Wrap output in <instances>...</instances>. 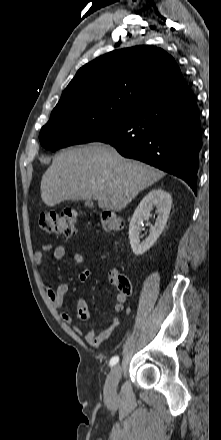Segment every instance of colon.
<instances>
[{"label":"colon","mask_w":221,"mask_h":440,"mask_svg":"<svg viewBox=\"0 0 221 440\" xmlns=\"http://www.w3.org/2000/svg\"><path fill=\"white\" fill-rule=\"evenodd\" d=\"M79 215L80 213L73 208H65L60 212L45 211L39 216V227L47 233H58L70 237L77 232ZM100 225L106 232H118L123 228V221L116 213L106 211L102 214ZM115 283L118 293L124 296L131 295L132 285L127 276H116Z\"/></svg>","instance_id":"1"}]
</instances>
